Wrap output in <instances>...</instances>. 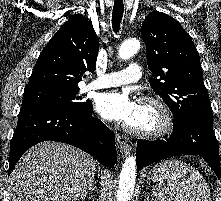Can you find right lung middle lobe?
<instances>
[{
  "label": "right lung middle lobe",
  "instance_id": "1",
  "mask_svg": "<svg viewBox=\"0 0 221 201\" xmlns=\"http://www.w3.org/2000/svg\"><path fill=\"white\" fill-rule=\"evenodd\" d=\"M79 88L58 87H31L25 88L22 105L29 103H42L51 106L66 108L78 112H85L92 106L90 100L77 97Z\"/></svg>",
  "mask_w": 221,
  "mask_h": 201
}]
</instances>
